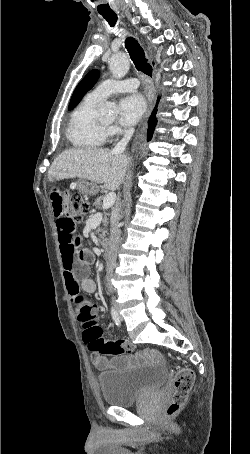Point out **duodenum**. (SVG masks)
I'll return each mask as SVG.
<instances>
[{
  "label": "duodenum",
  "instance_id": "obj_1",
  "mask_svg": "<svg viewBox=\"0 0 250 454\" xmlns=\"http://www.w3.org/2000/svg\"><path fill=\"white\" fill-rule=\"evenodd\" d=\"M102 247L105 254H108L111 250V240L109 238H104L102 240Z\"/></svg>",
  "mask_w": 250,
  "mask_h": 454
}]
</instances>
